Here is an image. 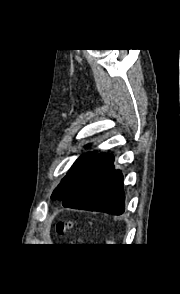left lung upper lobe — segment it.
I'll return each mask as SVG.
<instances>
[{
    "label": "left lung upper lobe",
    "mask_w": 180,
    "mask_h": 294,
    "mask_svg": "<svg viewBox=\"0 0 180 294\" xmlns=\"http://www.w3.org/2000/svg\"><path fill=\"white\" fill-rule=\"evenodd\" d=\"M95 155L96 151L88 152L81 155L70 168L67 175L62 179L61 183L54 190V192L51 195V198L62 200L71 189L74 181L86 168L88 163L95 157Z\"/></svg>",
    "instance_id": "1"
}]
</instances>
